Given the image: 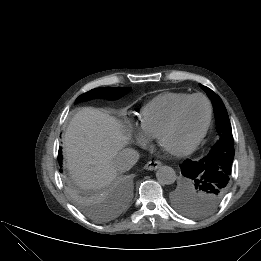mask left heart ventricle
I'll use <instances>...</instances> for the list:
<instances>
[{
  "instance_id": "1",
  "label": "left heart ventricle",
  "mask_w": 261,
  "mask_h": 261,
  "mask_svg": "<svg viewBox=\"0 0 261 261\" xmlns=\"http://www.w3.org/2000/svg\"><path fill=\"white\" fill-rule=\"evenodd\" d=\"M207 118V105L202 99L190 101L181 111L174 127L165 135L163 146L169 150L183 148L201 132Z\"/></svg>"
}]
</instances>
